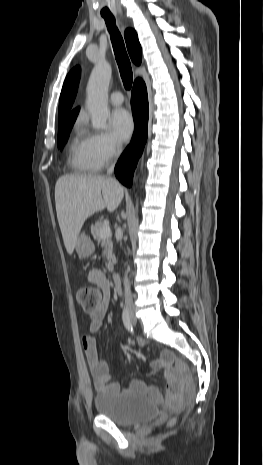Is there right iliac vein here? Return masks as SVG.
Segmentation results:
<instances>
[{
  "label": "right iliac vein",
  "mask_w": 263,
  "mask_h": 465,
  "mask_svg": "<svg viewBox=\"0 0 263 465\" xmlns=\"http://www.w3.org/2000/svg\"><path fill=\"white\" fill-rule=\"evenodd\" d=\"M130 313H131V315H133V312H132V311H131Z\"/></svg>",
  "instance_id": "63e3f726"
}]
</instances>
